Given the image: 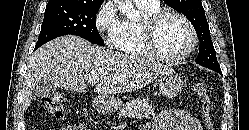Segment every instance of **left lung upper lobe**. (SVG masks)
<instances>
[{
  "label": "left lung upper lobe",
  "instance_id": "5c2ea615",
  "mask_svg": "<svg viewBox=\"0 0 249 130\" xmlns=\"http://www.w3.org/2000/svg\"><path fill=\"white\" fill-rule=\"evenodd\" d=\"M164 2L183 13L194 26L200 42L199 54L195 62L203 67L220 72V65L210 38L209 26L201 0H164Z\"/></svg>",
  "mask_w": 249,
  "mask_h": 130
}]
</instances>
